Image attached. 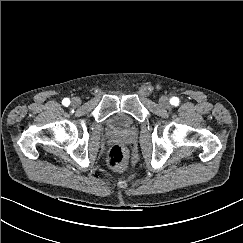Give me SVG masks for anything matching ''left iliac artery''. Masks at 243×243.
<instances>
[{
  "mask_svg": "<svg viewBox=\"0 0 243 243\" xmlns=\"http://www.w3.org/2000/svg\"><path fill=\"white\" fill-rule=\"evenodd\" d=\"M170 103H171V105H173V106H177V105L179 104V99H178L177 97H172V98L170 99Z\"/></svg>",
  "mask_w": 243,
  "mask_h": 243,
  "instance_id": "44dca946",
  "label": "left iliac artery"
}]
</instances>
